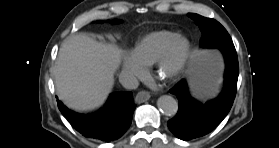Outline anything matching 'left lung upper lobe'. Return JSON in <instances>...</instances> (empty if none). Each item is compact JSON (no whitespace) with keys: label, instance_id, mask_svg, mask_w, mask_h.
I'll use <instances>...</instances> for the list:
<instances>
[{"label":"left lung upper lobe","instance_id":"5c2ea615","mask_svg":"<svg viewBox=\"0 0 279 148\" xmlns=\"http://www.w3.org/2000/svg\"><path fill=\"white\" fill-rule=\"evenodd\" d=\"M188 16L191 17L201 29V47L219 48L223 45L233 44L226 29L216 20L193 13H189Z\"/></svg>","mask_w":279,"mask_h":148}]
</instances>
